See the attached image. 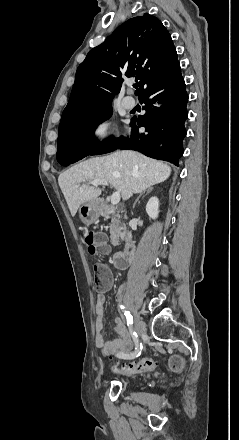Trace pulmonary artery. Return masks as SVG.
<instances>
[{"instance_id": "pulmonary-artery-1", "label": "pulmonary artery", "mask_w": 239, "mask_h": 440, "mask_svg": "<svg viewBox=\"0 0 239 440\" xmlns=\"http://www.w3.org/2000/svg\"><path fill=\"white\" fill-rule=\"evenodd\" d=\"M129 93L132 92V87H129ZM136 105L135 100L131 96H126L122 99V106L127 110H132Z\"/></svg>"}]
</instances>
